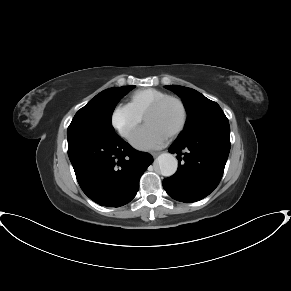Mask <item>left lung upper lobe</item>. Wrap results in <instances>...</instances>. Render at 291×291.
Instances as JSON below:
<instances>
[{
	"instance_id": "5c2ea615",
	"label": "left lung upper lobe",
	"mask_w": 291,
	"mask_h": 291,
	"mask_svg": "<svg viewBox=\"0 0 291 291\" xmlns=\"http://www.w3.org/2000/svg\"><path fill=\"white\" fill-rule=\"evenodd\" d=\"M181 97L187 111V120L177 139L190 138L213 127L229 125L220 106L198 91L178 86H165Z\"/></svg>"
}]
</instances>
